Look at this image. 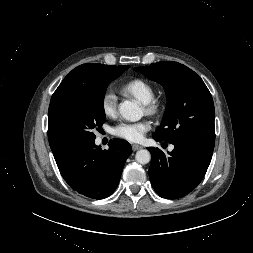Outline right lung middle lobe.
I'll return each mask as SVG.
<instances>
[{
  "label": "right lung middle lobe",
  "mask_w": 253,
  "mask_h": 253,
  "mask_svg": "<svg viewBox=\"0 0 253 253\" xmlns=\"http://www.w3.org/2000/svg\"><path fill=\"white\" fill-rule=\"evenodd\" d=\"M129 67L123 65L114 72L99 74L88 86L53 95L48 110V137L62 148L95 140L93 129H100L106 120L103 107L106 87Z\"/></svg>",
  "instance_id": "right-lung-middle-lobe-1"
}]
</instances>
